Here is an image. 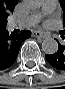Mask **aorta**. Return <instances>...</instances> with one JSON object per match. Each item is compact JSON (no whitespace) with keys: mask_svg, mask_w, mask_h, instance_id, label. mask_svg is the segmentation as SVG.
<instances>
[{"mask_svg":"<svg viewBox=\"0 0 65 89\" xmlns=\"http://www.w3.org/2000/svg\"><path fill=\"white\" fill-rule=\"evenodd\" d=\"M41 6L40 0H29L27 7L35 10ZM42 50L47 55L55 54L58 51V43L54 38H46L42 42Z\"/></svg>","mask_w":65,"mask_h":89,"instance_id":"aorta-1","label":"aorta"}]
</instances>
